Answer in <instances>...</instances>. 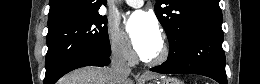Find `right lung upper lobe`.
Instances as JSON below:
<instances>
[{
	"label": "right lung upper lobe",
	"mask_w": 260,
	"mask_h": 84,
	"mask_svg": "<svg viewBox=\"0 0 260 84\" xmlns=\"http://www.w3.org/2000/svg\"><path fill=\"white\" fill-rule=\"evenodd\" d=\"M106 0H50L48 28L98 12Z\"/></svg>",
	"instance_id": "obj_1"
}]
</instances>
